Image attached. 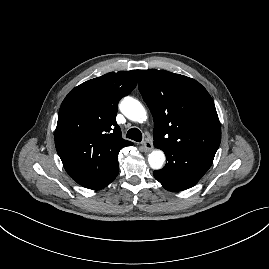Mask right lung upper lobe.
<instances>
[{
    "label": "right lung upper lobe",
    "mask_w": 269,
    "mask_h": 269,
    "mask_svg": "<svg viewBox=\"0 0 269 269\" xmlns=\"http://www.w3.org/2000/svg\"><path fill=\"white\" fill-rule=\"evenodd\" d=\"M139 70L110 72L75 87L63 100L55 146L66 172L89 185L118 160L121 148L132 145L121 137L116 122L118 102L136 86Z\"/></svg>",
    "instance_id": "obj_1"
}]
</instances>
